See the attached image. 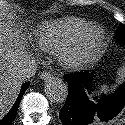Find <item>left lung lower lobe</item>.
<instances>
[{
  "label": "left lung lower lobe",
  "mask_w": 125,
  "mask_h": 125,
  "mask_svg": "<svg viewBox=\"0 0 125 125\" xmlns=\"http://www.w3.org/2000/svg\"><path fill=\"white\" fill-rule=\"evenodd\" d=\"M64 79L68 82V97L59 112L64 125H100L114 118L125 105V83L114 94L92 101L88 95V71L69 74Z\"/></svg>",
  "instance_id": "1"
}]
</instances>
